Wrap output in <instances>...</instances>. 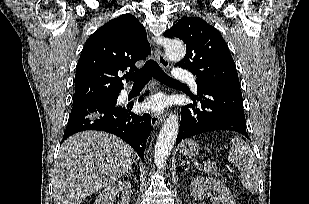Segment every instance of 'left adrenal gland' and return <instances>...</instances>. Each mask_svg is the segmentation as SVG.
Masks as SVG:
<instances>
[{
  "label": "left adrenal gland",
  "mask_w": 309,
  "mask_h": 204,
  "mask_svg": "<svg viewBox=\"0 0 309 204\" xmlns=\"http://www.w3.org/2000/svg\"><path fill=\"white\" fill-rule=\"evenodd\" d=\"M181 165L185 166V162L183 161Z\"/></svg>",
  "instance_id": "1"
}]
</instances>
